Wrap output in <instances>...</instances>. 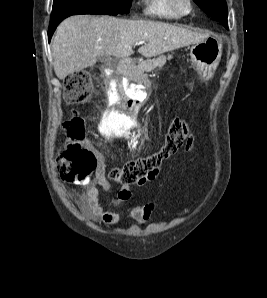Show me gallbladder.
I'll use <instances>...</instances> for the list:
<instances>
[{"mask_svg":"<svg viewBox=\"0 0 267 298\" xmlns=\"http://www.w3.org/2000/svg\"><path fill=\"white\" fill-rule=\"evenodd\" d=\"M98 59H99L100 61H105V62H107V61L110 60V57H109V56H100Z\"/></svg>","mask_w":267,"mask_h":298,"instance_id":"bac80fb5","label":"gallbladder"}]
</instances>
